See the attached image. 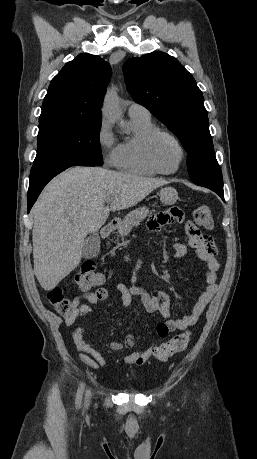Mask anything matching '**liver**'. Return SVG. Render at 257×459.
I'll return each mask as SVG.
<instances>
[{
    "mask_svg": "<svg viewBox=\"0 0 257 459\" xmlns=\"http://www.w3.org/2000/svg\"><path fill=\"white\" fill-rule=\"evenodd\" d=\"M169 181L115 172L99 167H74L54 178L32 208L34 273L51 290L80 263L88 234L109 217L141 202ZM111 199L110 207L105 203Z\"/></svg>",
    "mask_w": 257,
    "mask_h": 459,
    "instance_id": "6515ba94",
    "label": "liver"
}]
</instances>
